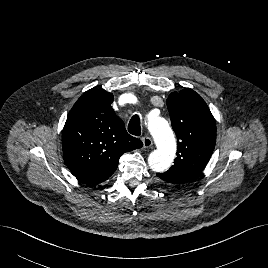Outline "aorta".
Listing matches in <instances>:
<instances>
[{
	"mask_svg": "<svg viewBox=\"0 0 268 268\" xmlns=\"http://www.w3.org/2000/svg\"><path fill=\"white\" fill-rule=\"evenodd\" d=\"M150 132L156 142L157 150L148 157L149 167L155 172L167 170L175 157L176 141L168 122L156 115L148 118Z\"/></svg>",
	"mask_w": 268,
	"mask_h": 268,
	"instance_id": "1",
	"label": "aorta"
}]
</instances>
